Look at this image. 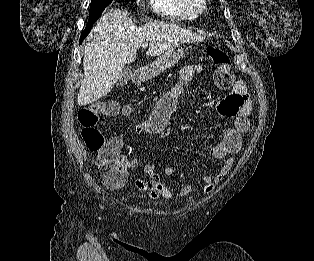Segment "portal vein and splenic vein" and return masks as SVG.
<instances>
[{"mask_svg":"<svg viewBox=\"0 0 314 261\" xmlns=\"http://www.w3.org/2000/svg\"><path fill=\"white\" fill-rule=\"evenodd\" d=\"M148 46V43H143L142 47L146 48Z\"/></svg>","mask_w":314,"mask_h":261,"instance_id":"portal-vein-and-splenic-vein-1","label":"portal vein and splenic vein"}]
</instances>
